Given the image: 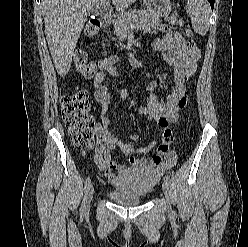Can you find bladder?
<instances>
[{"label":"bladder","instance_id":"31cf9c89","mask_svg":"<svg viewBox=\"0 0 248 247\" xmlns=\"http://www.w3.org/2000/svg\"><path fill=\"white\" fill-rule=\"evenodd\" d=\"M155 183V174L149 168H128L116 178V190L109 197L121 205H137L152 192Z\"/></svg>","mask_w":248,"mask_h":247}]
</instances>
